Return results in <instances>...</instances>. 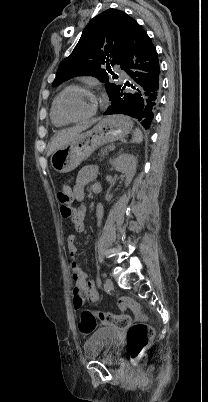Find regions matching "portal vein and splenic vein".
<instances>
[{"label": "portal vein and splenic vein", "mask_w": 208, "mask_h": 402, "mask_svg": "<svg viewBox=\"0 0 208 402\" xmlns=\"http://www.w3.org/2000/svg\"><path fill=\"white\" fill-rule=\"evenodd\" d=\"M110 150H115V146H111Z\"/></svg>", "instance_id": "portal-vein-and-splenic-vein-1"}]
</instances>
